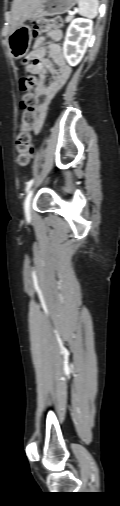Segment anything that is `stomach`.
Wrapping results in <instances>:
<instances>
[{
    "instance_id": "1",
    "label": "stomach",
    "mask_w": 120,
    "mask_h": 506,
    "mask_svg": "<svg viewBox=\"0 0 120 506\" xmlns=\"http://www.w3.org/2000/svg\"><path fill=\"white\" fill-rule=\"evenodd\" d=\"M78 0H44L29 17L32 22H37L44 16H54L69 11ZM8 47L15 59L24 57L30 48L32 40L31 28L21 25L8 36Z\"/></svg>"
}]
</instances>
